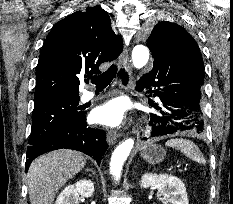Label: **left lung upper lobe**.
Segmentation results:
<instances>
[{"instance_id":"5c2ea615","label":"left lung upper lobe","mask_w":233,"mask_h":204,"mask_svg":"<svg viewBox=\"0 0 233 204\" xmlns=\"http://www.w3.org/2000/svg\"><path fill=\"white\" fill-rule=\"evenodd\" d=\"M146 46L153 59L163 54L178 53L194 69L200 82H204V64L199 46L182 26L170 21H158L149 28Z\"/></svg>"}]
</instances>
